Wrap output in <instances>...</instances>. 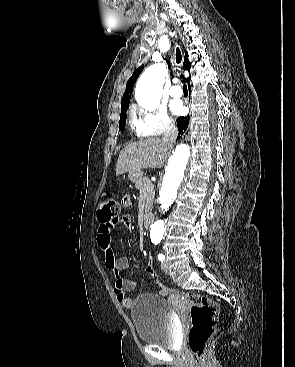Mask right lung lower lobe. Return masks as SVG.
I'll return each mask as SVG.
<instances>
[{"mask_svg":"<svg viewBox=\"0 0 295 367\" xmlns=\"http://www.w3.org/2000/svg\"><path fill=\"white\" fill-rule=\"evenodd\" d=\"M188 123H189V116L177 118V127H178V131H179L178 139L186 131Z\"/></svg>","mask_w":295,"mask_h":367,"instance_id":"98d812e1","label":"right lung lower lobe"}]
</instances>
